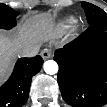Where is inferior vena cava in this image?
I'll list each match as a JSON object with an SVG mask.
<instances>
[{
    "instance_id": "inferior-vena-cava-1",
    "label": "inferior vena cava",
    "mask_w": 107,
    "mask_h": 107,
    "mask_svg": "<svg viewBox=\"0 0 107 107\" xmlns=\"http://www.w3.org/2000/svg\"><path fill=\"white\" fill-rule=\"evenodd\" d=\"M39 52V46H25L18 50V54L22 57H34Z\"/></svg>"
}]
</instances>
